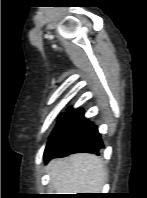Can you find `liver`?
<instances>
[{"instance_id": "liver-1", "label": "liver", "mask_w": 147, "mask_h": 198, "mask_svg": "<svg viewBox=\"0 0 147 198\" xmlns=\"http://www.w3.org/2000/svg\"><path fill=\"white\" fill-rule=\"evenodd\" d=\"M46 170L55 194L99 193L107 178L103 161L86 153L53 159Z\"/></svg>"}]
</instances>
